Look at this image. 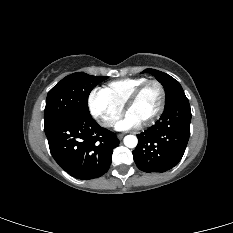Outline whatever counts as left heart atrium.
<instances>
[{
    "label": "left heart atrium",
    "instance_id": "obj_1",
    "mask_svg": "<svg viewBox=\"0 0 233 233\" xmlns=\"http://www.w3.org/2000/svg\"><path fill=\"white\" fill-rule=\"evenodd\" d=\"M138 125L139 122L133 116L127 113L125 117L116 124L115 127L117 130H129L135 128Z\"/></svg>",
    "mask_w": 233,
    "mask_h": 233
}]
</instances>
